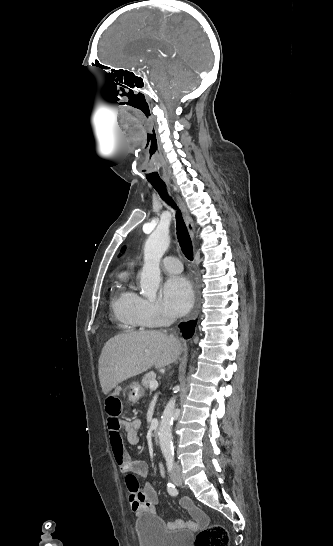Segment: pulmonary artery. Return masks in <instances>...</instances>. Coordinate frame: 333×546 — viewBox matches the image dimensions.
Masks as SVG:
<instances>
[{
	"label": "pulmonary artery",
	"instance_id": "pulmonary-artery-1",
	"mask_svg": "<svg viewBox=\"0 0 333 546\" xmlns=\"http://www.w3.org/2000/svg\"><path fill=\"white\" fill-rule=\"evenodd\" d=\"M161 268L169 273H180L182 264L178 258L167 256L161 261Z\"/></svg>",
	"mask_w": 333,
	"mask_h": 546
}]
</instances>
